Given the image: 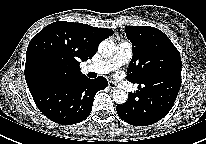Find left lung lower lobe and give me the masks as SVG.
Masks as SVG:
<instances>
[{
  "instance_id": "left-lung-lower-lobe-1",
  "label": "left lung lower lobe",
  "mask_w": 206,
  "mask_h": 144,
  "mask_svg": "<svg viewBox=\"0 0 206 144\" xmlns=\"http://www.w3.org/2000/svg\"><path fill=\"white\" fill-rule=\"evenodd\" d=\"M180 89L166 86L146 89L139 84L138 90L129 93L128 101L117 105L121 119L134 126H147L161 120L171 110Z\"/></svg>"
}]
</instances>
